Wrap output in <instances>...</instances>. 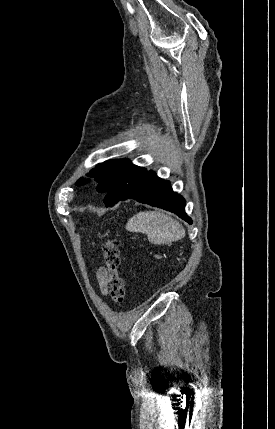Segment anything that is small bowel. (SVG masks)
Listing matches in <instances>:
<instances>
[{"mask_svg":"<svg viewBox=\"0 0 275 429\" xmlns=\"http://www.w3.org/2000/svg\"><path fill=\"white\" fill-rule=\"evenodd\" d=\"M107 277H108L107 270L104 268H99L97 271V279H98L99 287L102 293L104 294L108 292Z\"/></svg>","mask_w":275,"mask_h":429,"instance_id":"1","label":"small bowel"}]
</instances>
